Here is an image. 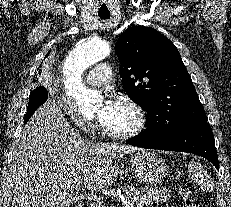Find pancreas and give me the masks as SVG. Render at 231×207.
<instances>
[{"label": "pancreas", "instance_id": "1", "mask_svg": "<svg viewBox=\"0 0 231 207\" xmlns=\"http://www.w3.org/2000/svg\"><path fill=\"white\" fill-rule=\"evenodd\" d=\"M122 194L132 204V207H144L158 202H167L170 199V191L158 187L126 186L122 189ZM91 207H99V204H92Z\"/></svg>", "mask_w": 231, "mask_h": 207}]
</instances>
